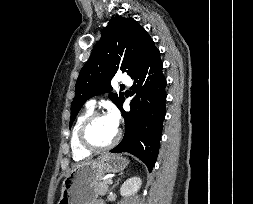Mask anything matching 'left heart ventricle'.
I'll use <instances>...</instances> for the list:
<instances>
[{
	"label": "left heart ventricle",
	"instance_id": "b2bd125f",
	"mask_svg": "<svg viewBox=\"0 0 253 204\" xmlns=\"http://www.w3.org/2000/svg\"><path fill=\"white\" fill-rule=\"evenodd\" d=\"M115 128L106 116L98 118L88 131L89 139L96 145L108 144L116 135Z\"/></svg>",
	"mask_w": 253,
	"mask_h": 204
}]
</instances>
